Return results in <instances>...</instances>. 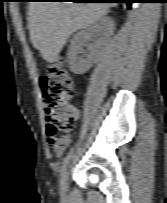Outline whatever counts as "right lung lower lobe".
Returning <instances> with one entry per match:
<instances>
[{
    "instance_id": "98d812e1",
    "label": "right lung lower lobe",
    "mask_w": 167,
    "mask_h": 203,
    "mask_svg": "<svg viewBox=\"0 0 167 203\" xmlns=\"http://www.w3.org/2000/svg\"><path fill=\"white\" fill-rule=\"evenodd\" d=\"M108 2H89V3H127V7L130 9L131 4L135 2V0H102Z\"/></svg>"
}]
</instances>
